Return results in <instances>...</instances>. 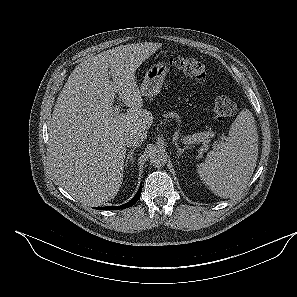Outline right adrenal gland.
Masks as SVG:
<instances>
[{"label":"right adrenal gland","mask_w":297,"mask_h":297,"mask_svg":"<svg viewBox=\"0 0 297 297\" xmlns=\"http://www.w3.org/2000/svg\"><path fill=\"white\" fill-rule=\"evenodd\" d=\"M135 151V148L131 149L129 152H128V155L125 159V166H127L128 164V161H130L132 164L134 163V158H133V153Z\"/></svg>","instance_id":"2a0ac1e0"}]
</instances>
